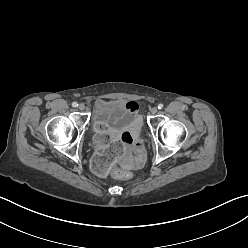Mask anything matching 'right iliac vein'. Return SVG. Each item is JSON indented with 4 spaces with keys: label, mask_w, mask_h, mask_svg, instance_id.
<instances>
[{
    "label": "right iliac vein",
    "mask_w": 248,
    "mask_h": 248,
    "mask_svg": "<svg viewBox=\"0 0 248 248\" xmlns=\"http://www.w3.org/2000/svg\"><path fill=\"white\" fill-rule=\"evenodd\" d=\"M79 110H84L85 109V105L83 103H80L78 106Z\"/></svg>",
    "instance_id": "obj_1"
}]
</instances>
